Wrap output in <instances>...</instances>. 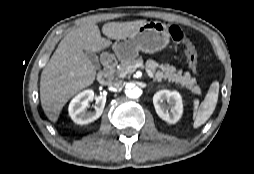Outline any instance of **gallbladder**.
<instances>
[{
  "instance_id": "obj_1",
  "label": "gallbladder",
  "mask_w": 254,
  "mask_h": 174,
  "mask_svg": "<svg viewBox=\"0 0 254 174\" xmlns=\"http://www.w3.org/2000/svg\"><path fill=\"white\" fill-rule=\"evenodd\" d=\"M86 56L88 57V59L92 62V64L99 69L100 68V63H99V59L98 56L91 51H85Z\"/></svg>"
}]
</instances>
